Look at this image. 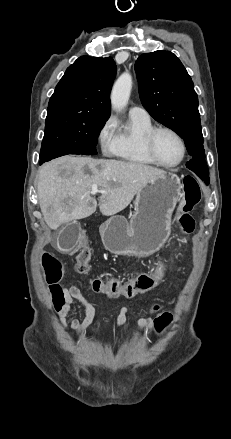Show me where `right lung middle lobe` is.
<instances>
[{
	"label": "right lung middle lobe",
	"mask_w": 231,
	"mask_h": 439,
	"mask_svg": "<svg viewBox=\"0 0 231 439\" xmlns=\"http://www.w3.org/2000/svg\"><path fill=\"white\" fill-rule=\"evenodd\" d=\"M107 119L89 114L47 117L40 164L67 154L96 155L98 136Z\"/></svg>",
	"instance_id": "1"
}]
</instances>
